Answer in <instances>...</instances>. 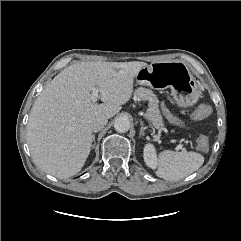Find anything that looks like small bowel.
I'll list each match as a JSON object with an SVG mask.
<instances>
[{
    "mask_svg": "<svg viewBox=\"0 0 241 241\" xmlns=\"http://www.w3.org/2000/svg\"><path fill=\"white\" fill-rule=\"evenodd\" d=\"M164 112H165L167 118H168L171 122H173V123H178V120H177L173 115H171L167 109H165Z\"/></svg>",
    "mask_w": 241,
    "mask_h": 241,
    "instance_id": "obj_1",
    "label": "small bowel"
}]
</instances>
